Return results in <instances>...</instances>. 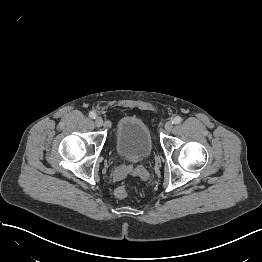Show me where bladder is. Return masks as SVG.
<instances>
[{"label":"bladder","instance_id":"31cf9c89","mask_svg":"<svg viewBox=\"0 0 262 262\" xmlns=\"http://www.w3.org/2000/svg\"><path fill=\"white\" fill-rule=\"evenodd\" d=\"M116 147L125 161L137 162L149 156L153 140L145 122L137 117L120 119L116 128Z\"/></svg>","mask_w":262,"mask_h":262}]
</instances>
